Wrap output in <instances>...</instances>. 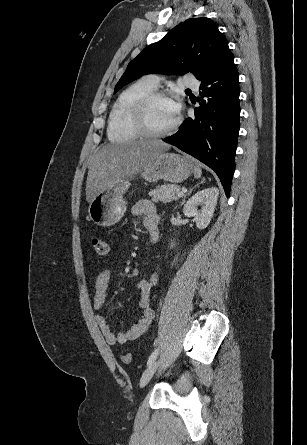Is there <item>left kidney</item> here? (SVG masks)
I'll return each instance as SVG.
<instances>
[{
  "mask_svg": "<svg viewBox=\"0 0 307 445\" xmlns=\"http://www.w3.org/2000/svg\"><path fill=\"white\" fill-rule=\"evenodd\" d=\"M218 194L219 190L216 186L203 188V190L193 194L184 204L183 212L185 216H194L193 220H195L198 229L208 227L217 204ZM198 204H202L201 210H198Z\"/></svg>",
  "mask_w": 307,
  "mask_h": 445,
  "instance_id": "1",
  "label": "left kidney"
}]
</instances>
